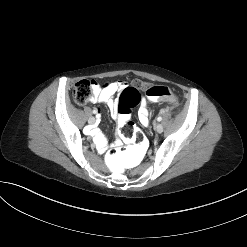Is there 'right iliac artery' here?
<instances>
[{"instance_id": "obj_1", "label": "right iliac artery", "mask_w": 247, "mask_h": 247, "mask_svg": "<svg viewBox=\"0 0 247 247\" xmlns=\"http://www.w3.org/2000/svg\"><path fill=\"white\" fill-rule=\"evenodd\" d=\"M97 113V111L96 110H93V114H96Z\"/></svg>"}]
</instances>
